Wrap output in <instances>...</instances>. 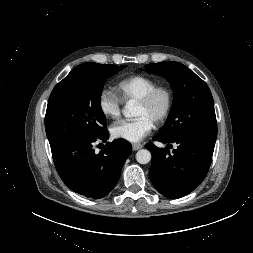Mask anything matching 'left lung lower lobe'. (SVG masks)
<instances>
[{
  "mask_svg": "<svg viewBox=\"0 0 253 253\" xmlns=\"http://www.w3.org/2000/svg\"><path fill=\"white\" fill-rule=\"evenodd\" d=\"M153 140L177 144L172 154L167 148H158L149 142L145 147L152 153L149 177L158 192L176 199L192 192L204 180L209 170L215 141L197 135L171 140L156 135Z\"/></svg>",
  "mask_w": 253,
  "mask_h": 253,
  "instance_id": "0a47b994",
  "label": "left lung lower lobe"
}]
</instances>
